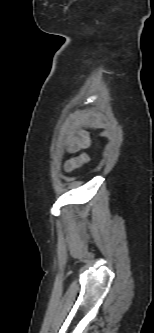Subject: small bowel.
Segmentation results:
<instances>
[{
	"label": "small bowel",
	"instance_id": "small-bowel-1",
	"mask_svg": "<svg viewBox=\"0 0 154 333\" xmlns=\"http://www.w3.org/2000/svg\"><path fill=\"white\" fill-rule=\"evenodd\" d=\"M89 144H90V139H89L88 135L86 133H83L82 138L79 140H76L72 144V146L70 147V152L76 153V152L80 151L81 149L87 148L89 146ZM88 159H89L88 155L85 153H82L79 156L69 159L65 164V168L67 171H71V170L81 166L85 162H87Z\"/></svg>",
	"mask_w": 154,
	"mask_h": 333
}]
</instances>
